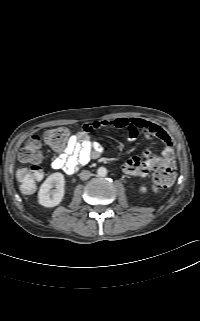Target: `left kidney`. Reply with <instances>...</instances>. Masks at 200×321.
I'll return each instance as SVG.
<instances>
[{"label":"left kidney","mask_w":200,"mask_h":321,"mask_svg":"<svg viewBox=\"0 0 200 321\" xmlns=\"http://www.w3.org/2000/svg\"><path fill=\"white\" fill-rule=\"evenodd\" d=\"M139 191H140L141 193H146V192H147V188H146L145 186H140V187H139Z\"/></svg>","instance_id":"5707ae66"}]
</instances>
